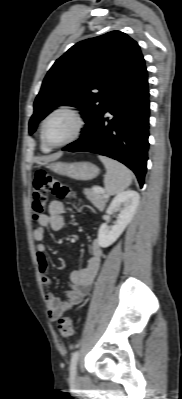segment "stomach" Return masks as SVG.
<instances>
[{"mask_svg":"<svg viewBox=\"0 0 182 399\" xmlns=\"http://www.w3.org/2000/svg\"><path fill=\"white\" fill-rule=\"evenodd\" d=\"M53 172L77 180H90L99 174L98 167L91 162H55L48 165Z\"/></svg>","mask_w":182,"mask_h":399,"instance_id":"0dacf381","label":"stomach"}]
</instances>
